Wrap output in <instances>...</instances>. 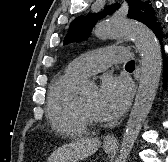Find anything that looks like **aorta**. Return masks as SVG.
I'll return each mask as SVG.
<instances>
[{
	"label": "aorta",
	"mask_w": 168,
	"mask_h": 162,
	"mask_svg": "<svg viewBox=\"0 0 168 162\" xmlns=\"http://www.w3.org/2000/svg\"><path fill=\"white\" fill-rule=\"evenodd\" d=\"M99 39L131 38L142 59L137 95L122 138L116 162H126L152 107L160 82L162 56L155 34L144 24L126 19L109 18L94 29Z\"/></svg>",
	"instance_id": "762f6f07"
}]
</instances>
